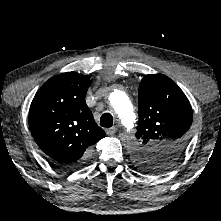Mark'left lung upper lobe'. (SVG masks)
Wrapping results in <instances>:
<instances>
[{"mask_svg":"<svg viewBox=\"0 0 221 221\" xmlns=\"http://www.w3.org/2000/svg\"><path fill=\"white\" fill-rule=\"evenodd\" d=\"M139 142L132 153L141 168L163 172L182 156L192 124L191 105L183 91L169 77L150 74L139 85Z\"/></svg>","mask_w":221,"mask_h":221,"instance_id":"left-lung-upper-lobe-1","label":"left lung upper lobe"}]
</instances>
